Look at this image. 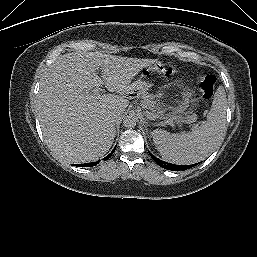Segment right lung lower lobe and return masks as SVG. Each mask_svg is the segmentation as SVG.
<instances>
[{"instance_id": "obj_1", "label": "right lung lower lobe", "mask_w": 257, "mask_h": 257, "mask_svg": "<svg viewBox=\"0 0 257 257\" xmlns=\"http://www.w3.org/2000/svg\"><path fill=\"white\" fill-rule=\"evenodd\" d=\"M115 151V148H114V150L108 155V156H106L103 160H107L112 154H113V152ZM99 162H92V163H86V164H76V166H78V167H92V166H95V165H97Z\"/></svg>"}]
</instances>
